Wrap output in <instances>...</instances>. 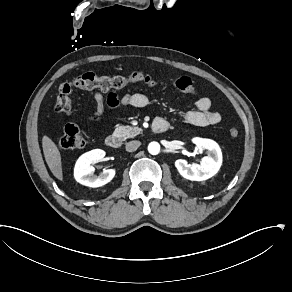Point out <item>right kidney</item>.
I'll list each match as a JSON object with an SVG mask.
<instances>
[{
	"instance_id": "right-kidney-1",
	"label": "right kidney",
	"mask_w": 292,
	"mask_h": 292,
	"mask_svg": "<svg viewBox=\"0 0 292 292\" xmlns=\"http://www.w3.org/2000/svg\"><path fill=\"white\" fill-rule=\"evenodd\" d=\"M105 151L95 149L83 154L76 162L74 177L78 183L84 186L97 188L109 183L116 175V169H107L100 176L94 175L95 168L91 165L93 162L104 160Z\"/></svg>"
}]
</instances>
